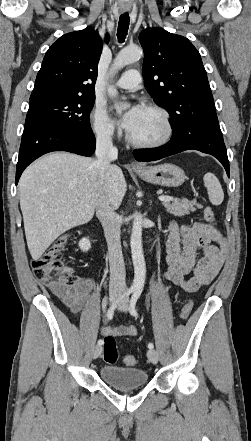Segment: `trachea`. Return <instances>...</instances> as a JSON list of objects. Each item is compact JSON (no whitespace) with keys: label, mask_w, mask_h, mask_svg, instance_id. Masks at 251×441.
<instances>
[{"label":"trachea","mask_w":251,"mask_h":441,"mask_svg":"<svg viewBox=\"0 0 251 441\" xmlns=\"http://www.w3.org/2000/svg\"><path fill=\"white\" fill-rule=\"evenodd\" d=\"M129 14L125 12L119 18L118 29H117V38L119 43H123L127 36L128 28H129Z\"/></svg>","instance_id":"1"}]
</instances>
